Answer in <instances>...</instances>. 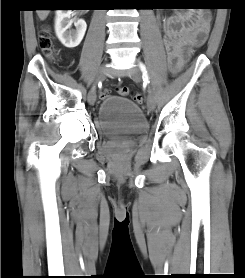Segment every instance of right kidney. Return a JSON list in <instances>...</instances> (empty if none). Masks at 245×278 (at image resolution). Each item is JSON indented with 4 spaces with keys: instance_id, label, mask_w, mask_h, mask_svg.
I'll list each match as a JSON object with an SVG mask.
<instances>
[{
    "instance_id": "right-kidney-1",
    "label": "right kidney",
    "mask_w": 245,
    "mask_h": 278,
    "mask_svg": "<svg viewBox=\"0 0 245 278\" xmlns=\"http://www.w3.org/2000/svg\"><path fill=\"white\" fill-rule=\"evenodd\" d=\"M71 10H56L55 32L60 42L67 48L77 47L86 32L87 24L83 19H71ZM74 23L75 29H70Z\"/></svg>"
}]
</instances>
